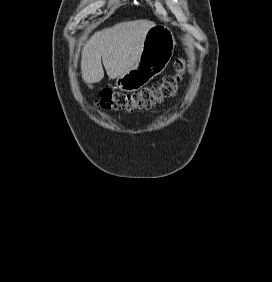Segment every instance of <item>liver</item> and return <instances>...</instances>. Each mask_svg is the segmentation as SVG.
I'll list each match as a JSON object with an SVG mask.
<instances>
[{"mask_svg": "<svg viewBox=\"0 0 272 282\" xmlns=\"http://www.w3.org/2000/svg\"><path fill=\"white\" fill-rule=\"evenodd\" d=\"M155 24L149 20L121 22L97 31L82 50L81 73L85 83H98L104 78L120 77L139 59L145 36Z\"/></svg>", "mask_w": 272, "mask_h": 282, "instance_id": "6515ba94", "label": "liver"}]
</instances>
